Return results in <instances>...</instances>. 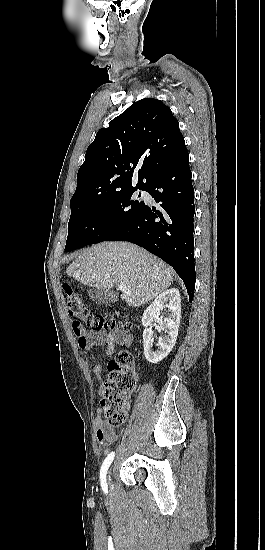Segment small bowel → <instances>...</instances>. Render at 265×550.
I'll return each mask as SVG.
<instances>
[{
    "instance_id": "c3829d8e",
    "label": "small bowel",
    "mask_w": 265,
    "mask_h": 550,
    "mask_svg": "<svg viewBox=\"0 0 265 550\" xmlns=\"http://www.w3.org/2000/svg\"><path fill=\"white\" fill-rule=\"evenodd\" d=\"M74 334L81 349L89 350L106 345L105 354L107 356H111L114 353L116 345L129 346L132 343L131 335L122 330L104 332L87 330L83 327L77 326L74 328ZM92 372L95 375L99 383V389L101 390V375L103 372V367L100 364L95 363L92 366ZM94 426L96 438L102 445L107 446L115 440V431L105 425L99 414L94 420Z\"/></svg>"
}]
</instances>
